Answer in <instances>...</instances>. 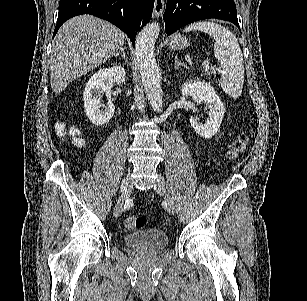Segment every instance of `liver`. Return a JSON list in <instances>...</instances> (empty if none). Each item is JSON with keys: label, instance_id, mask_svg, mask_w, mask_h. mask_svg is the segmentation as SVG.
I'll return each instance as SVG.
<instances>
[{"label": "liver", "instance_id": "obj_1", "mask_svg": "<svg viewBox=\"0 0 307 301\" xmlns=\"http://www.w3.org/2000/svg\"><path fill=\"white\" fill-rule=\"evenodd\" d=\"M125 34L107 20L80 14L60 26L49 58L50 84L59 94L66 86L119 52Z\"/></svg>", "mask_w": 307, "mask_h": 301}]
</instances>
